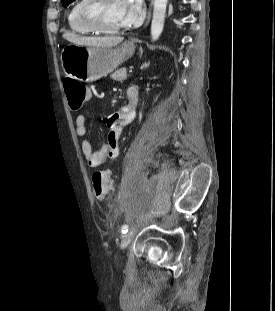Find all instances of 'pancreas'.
Instances as JSON below:
<instances>
[{"label": "pancreas", "instance_id": "obj_1", "mask_svg": "<svg viewBox=\"0 0 275 311\" xmlns=\"http://www.w3.org/2000/svg\"><path fill=\"white\" fill-rule=\"evenodd\" d=\"M115 81H124L127 79V71L125 68H121L110 75Z\"/></svg>", "mask_w": 275, "mask_h": 311}]
</instances>
